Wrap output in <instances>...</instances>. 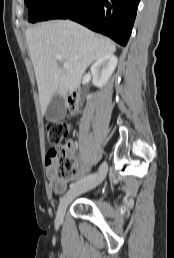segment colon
<instances>
[{"instance_id":"5ec220e1","label":"colon","mask_w":174,"mask_h":258,"mask_svg":"<svg viewBox=\"0 0 174 258\" xmlns=\"http://www.w3.org/2000/svg\"><path fill=\"white\" fill-rule=\"evenodd\" d=\"M71 130L65 121H53L47 126V138L52 148L48 152V161L56 165V175L60 179H70L76 174V164L71 156V143L65 141Z\"/></svg>"}]
</instances>
